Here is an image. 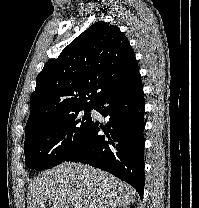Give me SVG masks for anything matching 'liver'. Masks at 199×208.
Listing matches in <instances>:
<instances>
[{
    "mask_svg": "<svg viewBox=\"0 0 199 208\" xmlns=\"http://www.w3.org/2000/svg\"><path fill=\"white\" fill-rule=\"evenodd\" d=\"M136 191L106 171L81 163L65 162L41 172L29 184L27 208H122L135 201Z\"/></svg>",
    "mask_w": 199,
    "mask_h": 208,
    "instance_id": "1",
    "label": "liver"
}]
</instances>
